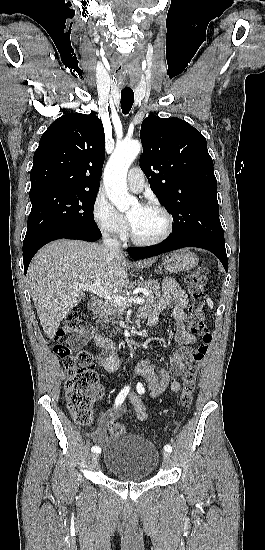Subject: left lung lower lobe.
I'll return each instance as SVG.
<instances>
[{
  "label": "left lung lower lobe",
  "mask_w": 265,
  "mask_h": 550,
  "mask_svg": "<svg viewBox=\"0 0 265 550\" xmlns=\"http://www.w3.org/2000/svg\"><path fill=\"white\" fill-rule=\"evenodd\" d=\"M183 247H199L211 251L219 258L225 270H228L225 243H220L207 237L185 236L174 239L168 238L163 244L158 246L129 248L128 253L133 259H143Z\"/></svg>",
  "instance_id": "left-lung-lower-lobe-1"
}]
</instances>
